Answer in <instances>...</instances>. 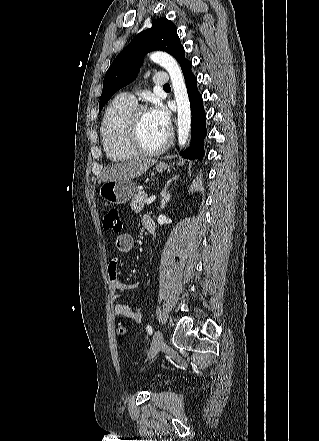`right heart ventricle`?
<instances>
[{
    "instance_id": "e07e8e85",
    "label": "right heart ventricle",
    "mask_w": 319,
    "mask_h": 441,
    "mask_svg": "<svg viewBox=\"0 0 319 441\" xmlns=\"http://www.w3.org/2000/svg\"><path fill=\"white\" fill-rule=\"evenodd\" d=\"M136 104L123 95L114 98L108 105L101 124V139L106 155L113 161L136 157L126 141L128 118Z\"/></svg>"
}]
</instances>
